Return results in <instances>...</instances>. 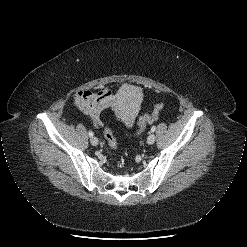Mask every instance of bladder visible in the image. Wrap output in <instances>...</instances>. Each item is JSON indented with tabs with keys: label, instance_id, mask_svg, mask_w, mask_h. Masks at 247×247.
<instances>
[{
	"label": "bladder",
	"instance_id": "1",
	"mask_svg": "<svg viewBox=\"0 0 247 247\" xmlns=\"http://www.w3.org/2000/svg\"><path fill=\"white\" fill-rule=\"evenodd\" d=\"M127 90L137 92V89L134 86H127Z\"/></svg>",
	"mask_w": 247,
	"mask_h": 247
}]
</instances>
